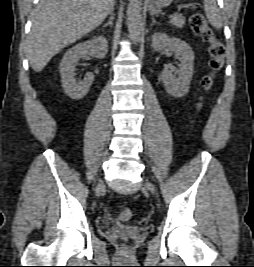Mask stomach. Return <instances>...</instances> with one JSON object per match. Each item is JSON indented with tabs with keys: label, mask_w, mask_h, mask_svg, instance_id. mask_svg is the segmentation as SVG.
Returning a JSON list of instances; mask_svg holds the SVG:
<instances>
[{
	"label": "stomach",
	"mask_w": 254,
	"mask_h": 267,
	"mask_svg": "<svg viewBox=\"0 0 254 267\" xmlns=\"http://www.w3.org/2000/svg\"><path fill=\"white\" fill-rule=\"evenodd\" d=\"M173 0H150L149 8L150 9H160L169 6Z\"/></svg>",
	"instance_id": "1"
}]
</instances>
